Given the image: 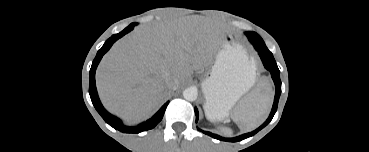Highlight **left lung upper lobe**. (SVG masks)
Returning a JSON list of instances; mask_svg holds the SVG:
<instances>
[{
    "label": "left lung upper lobe",
    "mask_w": 369,
    "mask_h": 152,
    "mask_svg": "<svg viewBox=\"0 0 369 152\" xmlns=\"http://www.w3.org/2000/svg\"><path fill=\"white\" fill-rule=\"evenodd\" d=\"M246 35L248 38H261L257 33L255 32H246Z\"/></svg>",
    "instance_id": "left-lung-upper-lobe-1"
}]
</instances>
